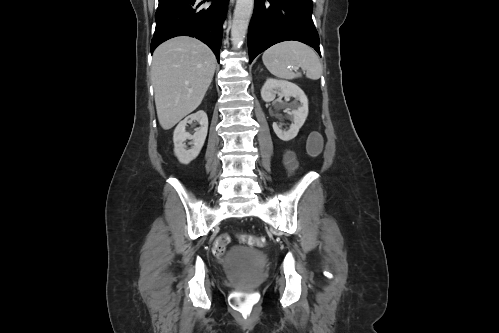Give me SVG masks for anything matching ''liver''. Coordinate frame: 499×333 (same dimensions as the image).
<instances>
[{"label":"liver","mask_w":499,"mask_h":333,"mask_svg":"<svg viewBox=\"0 0 499 333\" xmlns=\"http://www.w3.org/2000/svg\"><path fill=\"white\" fill-rule=\"evenodd\" d=\"M215 68V55L196 38L175 37L154 51L151 79L158 120L164 130L174 127L201 104Z\"/></svg>","instance_id":"1"}]
</instances>
